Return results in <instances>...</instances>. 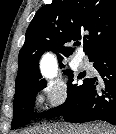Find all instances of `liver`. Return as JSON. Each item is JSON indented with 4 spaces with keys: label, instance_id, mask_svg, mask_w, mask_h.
<instances>
[{
    "label": "liver",
    "instance_id": "1",
    "mask_svg": "<svg viewBox=\"0 0 116 134\" xmlns=\"http://www.w3.org/2000/svg\"><path fill=\"white\" fill-rule=\"evenodd\" d=\"M24 134H115V130L108 124H96L92 126L55 124L51 126L37 127L25 131Z\"/></svg>",
    "mask_w": 116,
    "mask_h": 134
}]
</instances>
